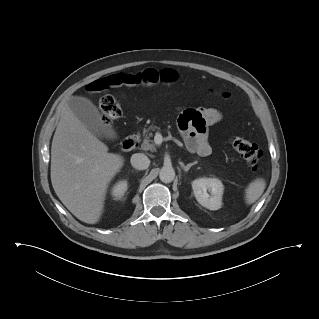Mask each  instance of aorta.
<instances>
[{"mask_svg": "<svg viewBox=\"0 0 319 319\" xmlns=\"http://www.w3.org/2000/svg\"><path fill=\"white\" fill-rule=\"evenodd\" d=\"M159 178L164 183H170L175 178V171L171 166H164L159 172Z\"/></svg>", "mask_w": 319, "mask_h": 319, "instance_id": "762f6f07", "label": "aorta"}]
</instances>
